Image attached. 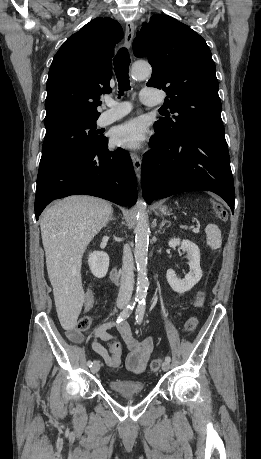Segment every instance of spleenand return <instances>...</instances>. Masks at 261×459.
Instances as JSON below:
<instances>
[{
  "mask_svg": "<svg viewBox=\"0 0 261 459\" xmlns=\"http://www.w3.org/2000/svg\"><path fill=\"white\" fill-rule=\"evenodd\" d=\"M205 233L207 237V245L212 250H217L221 247L222 244V237L221 231L215 224H209L205 228Z\"/></svg>",
  "mask_w": 261,
  "mask_h": 459,
  "instance_id": "spleen-1",
  "label": "spleen"
}]
</instances>
